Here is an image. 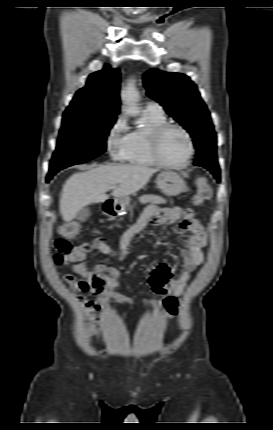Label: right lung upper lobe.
<instances>
[{"instance_id":"obj_1","label":"right lung upper lobe","mask_w":273,"mask_h":430,"mask_svg":"<svg viewBox=\"0 0 273 430\" xmlns=\"http://www.w3.org/2000/svg\"><path fill=\"white\" fill-rule=\"evenodd\" d=\"M120 71L105 66L92 73L84 88L76 92L65 113L116 118L120 108Z\"/></svg>"}]
</instances>
